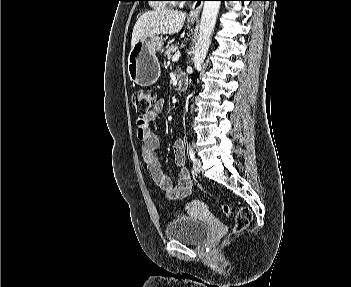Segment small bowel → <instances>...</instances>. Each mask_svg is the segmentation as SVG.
Returning a JSON list of instances; mask_svg holds the SVG:
<instances>
[{
    "mask_svg": "<svg viewBox=\"0 0 351 287\" xmlns=\"http://www.w3.org/2000/svg\"><path fill=\"white\" fill-rule=\"evenodd\" d=\"M164 105L163 99H157L155 106L145 117L136 119V135L141 141L140 151L143 162L152 180L163 190L165 196L170 200L186 198L192 191V180L186 164L185 143L176 140L173 145L175 162L180 167L177 184L174 185L170 177L162 170L157 155L160 146L159 136L151 130L150 123L160 113Z\"/></svg>",
    "mask_w": 351,
    "mask_h": 287,
    "instance_id": "1",
    "label": "small bowel"
}]
</instances>
